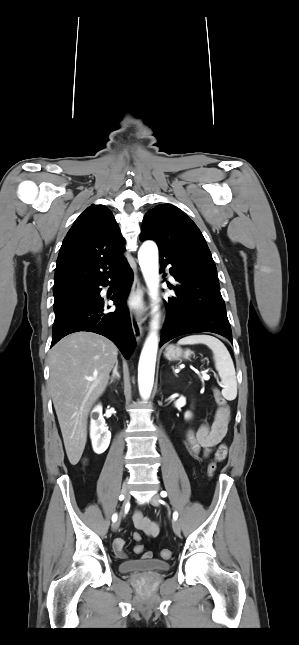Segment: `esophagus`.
Segmentation results:
<instances>
[{
    "label": "esophagus",
    "mask_w": 299,
    "mask_h": 645,
    "mask_svg": "<svg viewBox=\"0 0 299 645\" xmlns=\"http://www.w3.org/2000/svg\"><path fill=\"white\" fill-rule=\"evenodd\" d=\"M142 290H143V286H142L140 280L138 279V277L135 276L134 282H133V285H132V289H131V296L134 297V296L141 295ZM130 319H131V324H132V329H133L134 336H135L136 340L139 341L143 336V329H142V325H141V315H140L139 311H137L134 308H131L130 309Z\"/></svg>",
    "instance_id": "obj_1"
}]
</instances>
